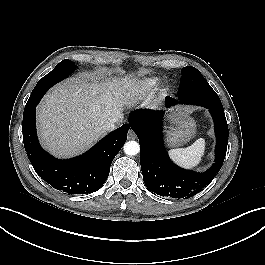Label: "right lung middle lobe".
I'll return each mask as SVG.
<instances>
[{"label":"right lung middle lobe","mask_w":265,"mask_h":265,"mask_svg":"<svg viewBox=\"0 0 265 265\" xmlns=\"http://www.w3.org/2000/svg\"><path fill=\"white\" fill-rule=\"evenodd\" d=\"M74 70H75V64L73 62L69 61L68 59L61 61L56 65V67L51 72H49L47 75H45L42 79L38 81L37 85L35 86V88L31 93V96L33 93H36L37 91H42L44 89L48 90L56 83L68 77V75L71 74ZM30 100L31 98H29L28 101Z\"/></svg>","instance_id":"right-lung-middle-lobe-1"}]
</instances>
